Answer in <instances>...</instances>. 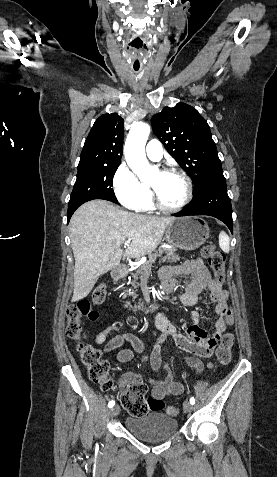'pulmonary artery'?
<instances>
[{
	"label": "pulmonary artery",
	"instance_id": "e3ab8cb5",
	"mask_svg": "<svg viewBox=\"0 0 277 477\" xmlns=\"http://www.w3.org/2000/svg\"><path fill=\"white\" fill-rule=\"evenodd\" d=\"M162 147L158 140H151L146 146V155L152 161H159L162 158Z\"/></svg>",
	"mask_w": 277,
	"mask_h": 477
}]
</instances>
